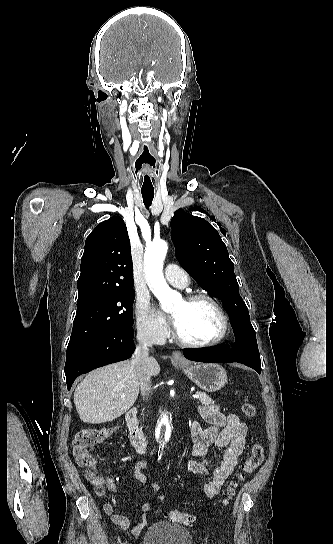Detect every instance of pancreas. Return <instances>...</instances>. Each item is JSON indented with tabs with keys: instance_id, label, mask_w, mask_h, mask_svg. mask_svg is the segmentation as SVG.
I'll return each mask as SVG.
<instances>
[{
	"instance_id": "1",
	"label": "pancreas",
	"mask_w": 333,
	"mask_h": 544,
	"mask_svg": "<svg viewBox=\"0 0 333 544\" xmlns=\"http://www.w3.org/2000/svg\"><path fill=\"white\" fill-rule=\"evenodd\" d=\"M199 395H200V398H199V401L203 404V405H209V404H214L215 401H213L206 393L204 392H197Z\"/></svg>"
}]
</instances>
